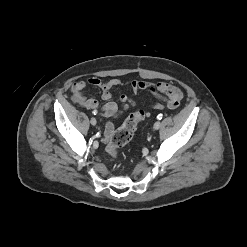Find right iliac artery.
Wrapping results in <instances>:
<instances>
[{"label": "right iliac artery", "instance_id": "1", "mask_svg": "<svg viewBox=\"0 0 247 247\" xmlns=\"http://www.w3.org/2000/svg\"><path fill=\"white\" fill-rule=\"evenodd\" d=\"M93 114H96V111H93Z\"/></svg>", "mask_w": 247, "mask_h": 247}]
</instances>
